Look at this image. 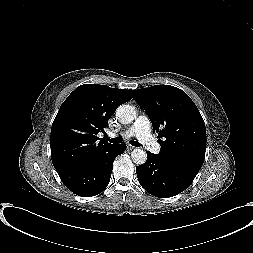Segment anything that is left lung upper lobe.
<instances>
[{
  "label": "left lung upper lobe",
  "mask_w": 253,
  "mask_h": 253,
  "mask_svg": "<svg viewBox=\"0 0 253 253\" xmlns=\"http://www.w3.org/2000/svg\"><path fill=\"white\" fill-rule=\"evenodd\" d=\"M134 100L147 112L154 132L161 138L157 156L197 174L206 152V128L200 112L181 89L155 85L130 90Z\"/></svg>",
  "instance_id": "5c2ea615"
}]
</instances>
